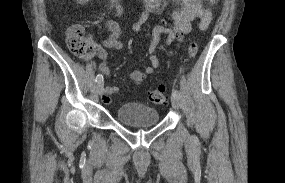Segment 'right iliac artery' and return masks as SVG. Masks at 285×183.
Returning a JSON list of instances; mask_svg holds the SVG:
<instances>
[{
  "mask_svg": "<svg viewBox=\"0 0 285 183\" xmlns=\"http://www.w3.org/2000/svg\"><path fill=\"white\" fill-rule=\"evenodd\" d=\"M95 81H96V82L103 81V76H102V74H98V75L96 76Z\"/></svg>",
  "mask_w": 285,
  "mask_h": 183,
  "instance_id": "obj_1",
  "label": "right iliac artery"
}]
</instances>
